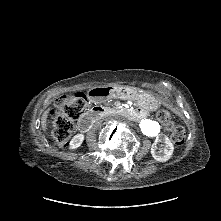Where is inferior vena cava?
Segmentation results:
<instances>
[{
	"label": "inferior vena cava",
	"mask_w": 221,
	"mask_h": 221,
	"mask_svg": "<svg viewBox=\"0 0 221 221\" xmlns=\"http://www.w3.org/2000/svg\"><path fill=\"white\" fill-rule=\"evenodd\" d=\"M112 113H110L109 115H108V118H109V116L111 115Z\"/></svg>",
	"instance_id": "602c4592"
}]
</instances>
